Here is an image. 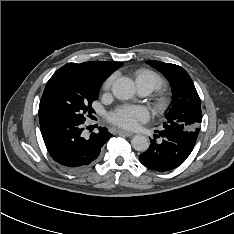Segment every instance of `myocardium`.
Here are the masks:
<instances>
[{"mask_svg":"<svg viewBox=\"0 0 234 234\" xmlns=\"http://www.w3.org/2000/svg\"><path fill=\"white\" fill-rule=\"evenodd\" d=\"M169 105V99L165 95H160L155 102V108L158 112H163Z\"/></svg>","mask_w":234,"mask_h":234,"instance_id":"obj_1","label":"myocardium"}]
</instances>
